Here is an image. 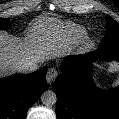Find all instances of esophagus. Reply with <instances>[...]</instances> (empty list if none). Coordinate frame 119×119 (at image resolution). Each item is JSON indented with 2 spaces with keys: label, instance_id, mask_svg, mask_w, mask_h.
Wrapping results in <instances>:
<instances>
[{
  "label": "esophagus",
  "instance_id": "34e87169",
  "mask_svg": "<svg viewBox=\"0 0 119 119\" xmlns=\"http://www.w3.org/2000/svg\"><path fill=\"white\" fill-rule=\"evenodd\" d=\"M58 76V72L55 68H50L46 75V80L49 84H52Z\"/></svg>",
  "mask_w": 119,
  "mask_h": 119
}]
</instances>
